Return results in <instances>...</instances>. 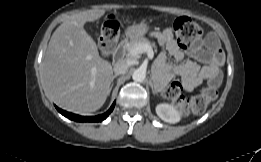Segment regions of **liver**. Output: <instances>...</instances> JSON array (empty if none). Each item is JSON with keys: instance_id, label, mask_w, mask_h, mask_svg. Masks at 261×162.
<instances>
[{"instance_id": "6515ba94", "label": "liver", "mask_w": 261, "mask_h": 162, "mask_svg": "<svg viewBox=\"0 0 261 162\" xmlns=\"http://www.w3.org/2000/svg\"><path fill=\"white\" fill-rule=\"evenodd\" d=\"M104 14V9H92L72 15L51 36L43 61L44 86L65 110L95 112L110 94L112 65L99 56L95 41L84 30L86 22Z\"/></svg>"}]
</instances>
